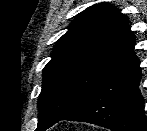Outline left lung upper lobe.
I'll return each mask as SVG.
<instances>
[{"label": "left lung upper lobe", "instance_id": "left-lung-upper-lobe-1", "mask_svg": "<svg viewBox=\"0 0 147 131\" xmlns=\"http://www.w3.org/2000/svg\"><path fill=\"white\" fill-rule=\"evenodd\" d=\"M128 18L114 6L95 4L81 12L54 46L43 69L38 131L78 110L94 90L133 53Z\"/></svg>", "mask_w": 147, "mask_h": 131}]
</instances>
